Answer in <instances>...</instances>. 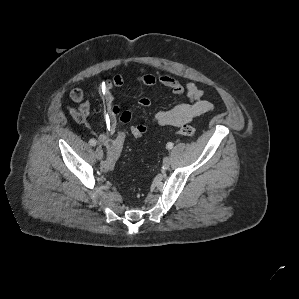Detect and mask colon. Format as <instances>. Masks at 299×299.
<instances>
[{
  "label": "colon",
  "instance_id": "1",
  "mask_svg": "<svg viewBox=\"0 0 299 299\" xmlns=\"http://www.w3.org/2000/svg\"><path fill=\"white\" fill-rule=\"evenodd\" d=\"M72 117L80 123L85 122L88 113L86 110L78 108H72L70 110ZM145 129L139 125H131L129 129H118L115 133L111 136L110 140L106 145V156L104 161L102 162V168L106 171H110L113 169L115 163L117 162L118 158L120 157L123 148L125 146L126 140L129 135L138 139L141 138L145 134ZM196 133V128L188 125L183 124L177 130L176 134L183 137H192Z\"/></svg>",
  "mask_w": 299,
  "mask_h": 299
}]
</instances>
